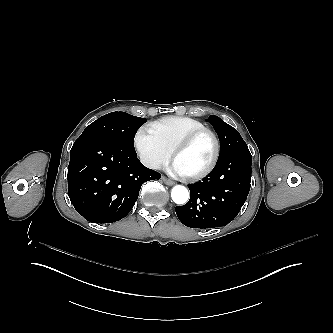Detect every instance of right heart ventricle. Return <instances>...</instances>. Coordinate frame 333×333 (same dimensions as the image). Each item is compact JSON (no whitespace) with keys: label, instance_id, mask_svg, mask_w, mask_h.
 Listing matches in <instances>:
<instances>
[{"label":"right heart ventricle","instance_id":"e07e8e85","mask_svg":"<svg viewBox=\"0 0 333 333\" xmlns=\"http://www.w3.org/2000/svg\"><path fill=\"white\" fill-rule=\"evenodd\" d=\"M206 128L195 119L185 116H168L148 123L144 128V136L162 143L167 149L172 147L186 134Z\"/></svg>","mask_w":333,"mask_h":333}]
</instances>
